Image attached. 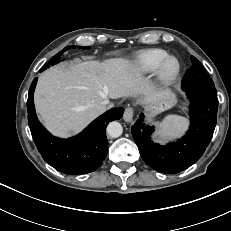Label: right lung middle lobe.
<instances>
[{
	"instance_id": "obj_1",
	"label": "right lung middle lobe",
	"mask_w": 231,
	"mask_h": 231,
	"mask_svg": "<svg viewBox=\"0 0 231 231\" xmlns=\"http://www.w3.org/2000/svg\"><path fill=\"white\" fill-rule=\"evenodd\" d=\"M70 48H75V46H67V47H65L62 51H60V52L57 53L54 57H52V58L50 59V61L47 62V63L42 67V69L40 70V72H42L43 70L49 68L51 65H54V64L58 63V62L60 61V57L62 56V54H63L64 52H66V51H67L68 49H70ZM80 48H81V47H80ZM87 48H89V47H87ZM83 49H86V47H83Z\"/></svg>"
}]
</instances>
